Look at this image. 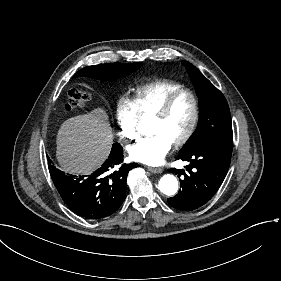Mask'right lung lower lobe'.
Returning a JSON list of instances; mask_svg holds the SVG:
<instances>
[{
  "mask_svg": "<svg viewBox=\"0 0 281 281\" xmlns=\"http://www.w3.org/2000/svg\"><path fill=\"white\" fill-rule=\"evenodd\" d=\"M123 149L114 143L108 159L89 176H70L56 169L49 160L52 180L67 206L86 219H100L113 214L126 195L128 172L138 164H122ZM113 171L112 174H110ZM110 174V175H109Z\"/></svg>",
  "mask_w": 281,
  "mask_h": 281,
  "instance_id": "obj_1",
  "label": "right lung lower lobe"
}]
</instances>
